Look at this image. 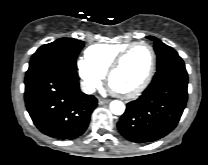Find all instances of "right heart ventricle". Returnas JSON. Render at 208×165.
Returning a JSON list of instances; mask_svg holds the SVG:
<instances>
[{"mask_svg":"<svg viewBox=\"0 0 208 165\" xmlns=\"http://www.w3.org/2000/svg\"><path fill=\"white\" fill-rule=\"evenodd\" d=\"M132 43H97L90 45L84 52L85 59L100 74L105 75L110 64L124 48Z\"/></svg>","mask_w":208,"mask_h":165,"instance_id":"e07e8e85","label":"right heart ventricle"}]
</instances>
